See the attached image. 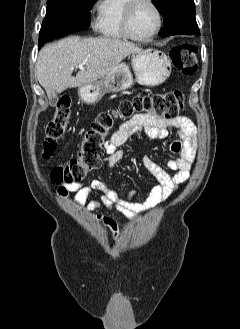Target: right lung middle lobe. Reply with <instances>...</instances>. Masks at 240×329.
I'll use <instances>...</instances> for the list:
<instances>
[{"instance_id":"dd1d6c3e","label":"right lung middle lobe","mask_w":240,"mask_h":329,"mask_svg":"<svg viewBox=\"0 0 240 329\" xmlns=\"http://www.w3.org/2000/svg\"><path fill=\"white\" fill-rule=\"evenodd\" d=\"M97 0H48L39 34V48L47 41L87 29L90 10Z\"/></svg>"}]
</instances>
